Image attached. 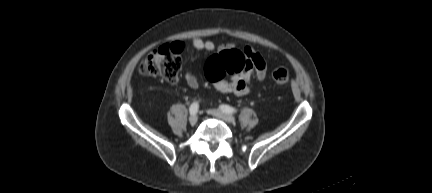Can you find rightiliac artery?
I'll use <instances>...</instances> for the list:
<instances>
[{
  "instance_id": "82829eb1",
  "label": "right iliac artery",
  "mask_w": 432,
  "mask_h": 193,
  "mask_svg": "<svg viewBox=\"0 0 432 193\" xmlns=\"http://www.w3.org/2000/svg\"><path fill=\"white\" fill-rule=\"evenodd\" d=\"M198 109H199L198 102H193L189 107L190 114L191 115L196 114L198 112Z\"/></svg>"
}]
</instances>
